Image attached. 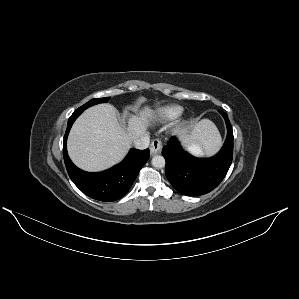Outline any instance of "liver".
I'll return each mask as SVG.
<instances>
[{"label":"liver","mask_w":299,"mask_h":299,"mask_svg":"<svg viewBox=\"0 0 299 299\" xmlns=\"http://www.w3.org/2000/svg\"><path fill=\"white\" fill-rule=\"evenodd\" d=\"M153 118V110L145 106L138 115L128 119L127 127H122L112 105L98 104L90 107L71 128L67 141L69 156L83 170H106L125 157L135 139L147 135V128ZM193 138L209 149H216L220 145L216 127L205 121L195 125Z\"/></svg>","instance_id":"liver-1"}]
</instances>
